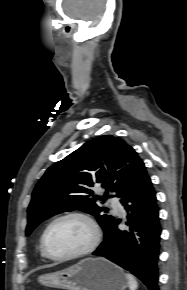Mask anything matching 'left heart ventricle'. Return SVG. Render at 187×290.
<instances>
[{
    "mask_svg": "<svg viewBox=\"0 0 187 290\" xmlns=\"http://www.w3.org/2000/svg\"><path fill=\"white\" fill-rule=\"evenodd\" d=\"M88 225L77 218L56 223L48 235V247L56 256L71 254L84 249L91 241Z\"/></svg>",
    "mask_w": 187,
    "mask_h": 290,
    "instance_id": "1",
    "label": "left heart ventricle"
}]
</instances>
